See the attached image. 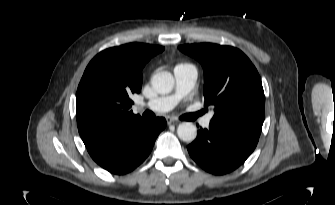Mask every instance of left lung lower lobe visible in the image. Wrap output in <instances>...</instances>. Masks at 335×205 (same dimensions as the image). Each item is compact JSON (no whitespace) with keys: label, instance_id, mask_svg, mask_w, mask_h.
<instances>
[{"label":"left lung lower lobe","instance_id":"0a47b994","mask_svg":"<svg viewBox=\"0 0 335 205\" xmlns=\"http://www.w3.org/2000/svg\"><path fill=\"white\" fill-rule=\"evenodd\" d=\"M258 140L257 135L211 120L209 128H201L196 140L187 149L192 159L204 170L222 175L244 163Z\"/></svg>","mask_w":335,"mask_h":205}]
</instances>
